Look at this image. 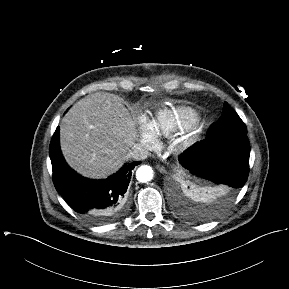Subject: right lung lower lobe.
Returning <instances> with one entry per match:
<instances>
[{
	"label": "right lung lower lobe",
	"instance_id": "obj_1",
	"mask_svg": "<svg viewBox=\"0 0 289 289\" xmlns=\"http://www.w3.org/2000/svg\"><path fill=\"white\" fill-rule=\"evenodd\" d=\"M49 155L56 190L84 219L94 224H105L124 215L131 171L140 161L125 164L107 179L84 178L73 171L63 158L59 145V127L52 137Z\"/></svg>",
	"mask_w": 289,
	"mask_h": 289
}]
</instances>
